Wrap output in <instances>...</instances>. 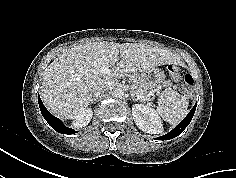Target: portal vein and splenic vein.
Masks as SVG:
<instances>
[{
	"instance_id": "portal-vein-and-splenic-vein-1",
	"label": "portal vein and splenic vein",
	"mask_w": 236,
	"mask_h": 178,
	"mask_svg": "<svg viewBox=\"0 0 236 178\" xmlns=\"http://www.w3.org/2000/svg\"><path fill=\"white\" fill-rule=\"evenodd\" d=\"M100 71H101L102 73L110 74V69H109L108 66H103V67H101ZM136 95H137V94H136ZM137 97H138L140 100H143V101H144V100H147L146 97H143V96H140V95H137Z\"/></svg>"
}]
</instances>
